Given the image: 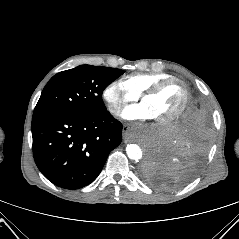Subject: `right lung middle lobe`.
Returning <instances> with one entry per match:
<instances>
[{
	"label": "right lung middle lobe",
	"mask_w": 239,
	"mask_h": 239,
	"mask_svg": "<svg viewBox=\"0 0 239 239\" xmlns=\"http://www.w3.org/2000/svg\"><path fill=\"white\" fill-rule=\"evenodd\" d=\"M123 73L120 69L91 65L62 71L44 87L34 114L51 111L104 113L107 109L102 93Z\"/></svg>",
	"instance_id": "right-lung-middle-lobe-1"
}]
</instances>
